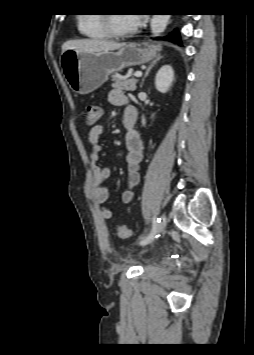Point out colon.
<instances>
[{
	"mask_svg": "<svg viewBox=\"0 0 254 355\" xmlns=\"http://www.w3.org/2000/svg\"><path fill=\"white\" fill-rule=\"evenodd\" d=\"M101 117V107L98 105H89L86 108V123L94 125ZM116 235L119 238L126 239L131 236L130 228L125 224H117L115 226Z\"/></svg>",
	"mask_w": 254,
	"mask_h": 355,
	"instance_id": "obj_1",
	"label": "colon"
}]
</instances>
